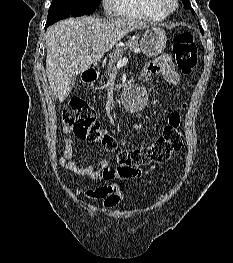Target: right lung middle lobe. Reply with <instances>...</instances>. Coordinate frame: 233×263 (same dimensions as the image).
Wrapping results in <instances>:
<instances>
[{"label":"right lung middle lobe","mask_w":233,"mask_h":263,"mask_svg":"<svg viewBox=\"0 0 233 263\" xmlns=\"http://www.w3.org/2000/svg\"><path fill=\"white\" fill-rule=\"evenodd\" d=\"M101 0H52L48 12V22H56L73 16H82L93 13Z\"/></svg>","instance_id":"obj_1"}]
</instances>
